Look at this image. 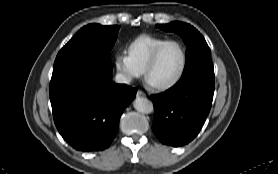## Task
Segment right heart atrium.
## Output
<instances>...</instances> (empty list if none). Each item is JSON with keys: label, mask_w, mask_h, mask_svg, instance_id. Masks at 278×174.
I'll use <instances>...</instances> for the list:
<instances>
[{"label": "right heart atrium", "mask_w": 278, "mask_h": 174, "mask_svg": "<svg viewBox=\"0 0 278 174\" xmlns=\"http://www.w3.org/2000/svg\"><path fill=\"white\" fill-rule=\"evenodd\" d=\"M116 67L120 74L126 79L137 77L139 71L131 63L130 59L127 56H119L116 60Z\"/></svg>", "instance_id": "obj_1"}]
</instances>
